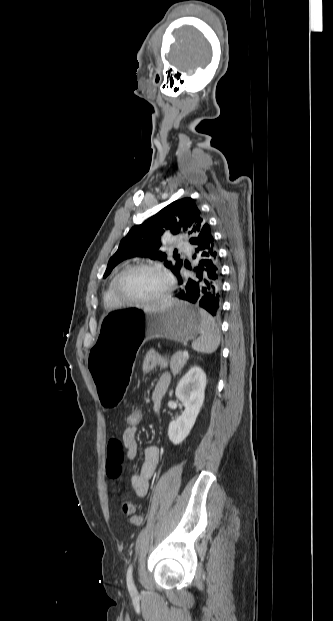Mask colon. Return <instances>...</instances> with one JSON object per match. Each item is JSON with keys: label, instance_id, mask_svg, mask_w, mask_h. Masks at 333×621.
Instances as JSON below:
<instances>
[{"label": "colon", "instance_id": "obj_1", "mask_svg": "<svg viewBox=\"0 0 333 621\" xmlns=\"http://www.w3.org/2000/svg\"><path fill=\"white\" fill-rule=\"evenodd\" d=\"M142 420V411L137 408L130 409L126 415L127 424L130 426H137ZM122 510L125 515L130 518V522L133 525H140L142 523V516L136 511L135 506L132 503L124 502Z\"/></svg>", "mask_w": 333, "mask_h": 621}]
</instances>
